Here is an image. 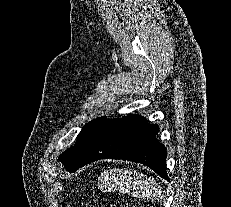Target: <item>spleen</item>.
<instances>
[{
	"mask_svg": "<svg viewBox=\"0 0 231 207\" xmlns=\"http://www.w3.org/2000/svg\"><path fill=\"white\" fill-rule=\"evenodd\" d=\"M109 189L119 190L141 199H155L160 196L156 181L143 174L137 175L131 170L115 169L107 178Z\"/></svg>",
	"mask_w": 231,
	"mask_h": 207,
	"instance_id": "spleen-1",
	"label": "spleen"
}]
</instances>
